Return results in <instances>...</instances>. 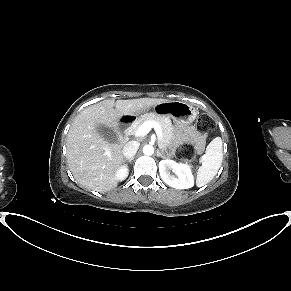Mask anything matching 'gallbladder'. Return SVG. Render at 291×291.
Listing matches in <instances>:
<instances>
[{"label":"gallbladder","instance_id":"1","mask_svg":"<svg viewBox=\"0 0 291 291\" xmlns=\"http://www.w3.org/2000/svg\"><path fill=\"white\" fill-rule=\"evenodd\" d=\"M97 131L100 134V136L105 139L106 141H109L111 143L117 141V135L116 133L110 129L109 127L100 125L97 127Z\"/></svg>","mask_w":291,"mask_h":291}]
</instances>
